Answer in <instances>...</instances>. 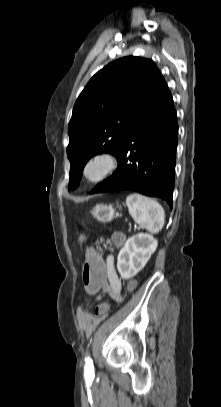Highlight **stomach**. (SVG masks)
Wrapping results in <instances>:
<instances>
[{"mask_svg":"<svg viewBox=\"0 0 221 407\" xmlns=\"http://www.w3.org/2000/svg\"><path fill=\"white\" fill-rule=\"evenodd\" d=\"M91 214L94 218L103 223L111 222L117 216L116 211L111 204H97L91 210ZM83 240L84 236L80 235L79 241L82 242Z\"/></svg>","mask_w":221,"mask_h":407,"instance_id":"obj_1","label":"stomach"}]
</instances>
